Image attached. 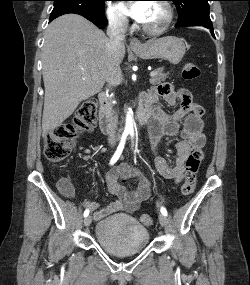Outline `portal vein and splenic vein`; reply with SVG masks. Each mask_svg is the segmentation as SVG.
<instances>
[{"label": "portal vein and splenic vein", "mask_w": 250, "mask_h": 285, "mask_svg": "<svg viewBox=\"0 0 250 285\" xmlns=\"http://www.w3.org/2000/svg\"><path fill=\"white\" fill-rule=\"evenodd\" d=\"M155 75H157V72H156V71H151L150 74H149L150 77H153V76H155Z\"/></svg>", "instance_id": "1"}]
</instances>
